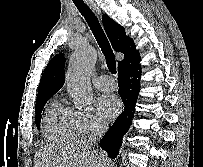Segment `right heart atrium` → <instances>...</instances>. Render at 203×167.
Here are the masks:
<instances>
[{"label":"right heart atrium","instance_id":"1","mask_svg":"<svg viewBox=\"0 0 203 167\" xmlns=\"http://www.w3.org/2000/svg\"><path fill=\"white\" fill-rule=\"evenodd\" d=\"M73 117L79 134H86L103 128V123L92 112L73 110Z\"/></svg>","mask_w":203,"mask_h":167}]
</instances>
